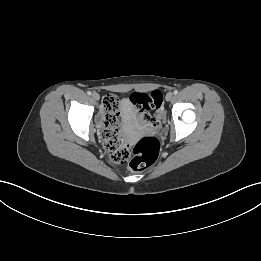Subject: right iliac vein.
<instances>
[{"instance_id":"obj_1","label":"right iliac vein","mask_w":261,"mask_h":261,"mask_svg":"<svg viewBox=\"0 0 261 261\" xmlns=\"http://www.w3.org/2000/svg\"><path fill=\"white\" fill-rule=\"evenodd\" d=\"M92 98H93L95 101H98V100L100 99V96H99L98 93L94 92V93L92 94Z\"/></svg>"}]
</instances>
